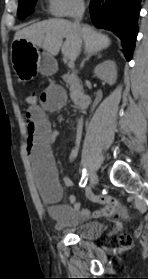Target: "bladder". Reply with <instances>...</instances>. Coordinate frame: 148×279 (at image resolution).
<instances>
[{"label": "bladder", "instance_id": "bladder-1", "mask_svg": "<svg viewBox=\"0 0 148 279\" xmlns=\"http://www.w3.org/2000/svg\"><path fill=\"white\" fill-rule=\"evenodd\" d=\"M60 229L78 238L96 240L103 236L105 227L101 222H82L71 226L62 225Z\"/></svg>", "mask_w": 148, "mask_h": 279}]
</instances>
